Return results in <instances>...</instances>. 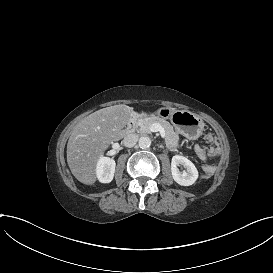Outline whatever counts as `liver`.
<instances>
[{"instance_id":"liver-1","label":"liver","mask_w":273,"mask_h":273,"mask_svg":"<svg viewBox=\"0 0 273 273\" xmlns=\"http://www.w3.org/2000/svg\"><path fill=\"white\" fill-rule=\"evenodd\" d=\"M133 115V107L114 105L95 111L74 127L67 144V163L78 181L86 185L96 181L99 158L112 142L123 138L122 128Z\"/></svg>"}]
</instances>
